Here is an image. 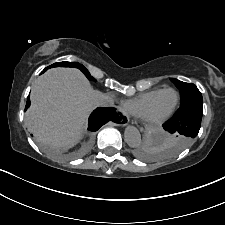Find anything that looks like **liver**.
<instances>
[{
  "mask_svg": "<svg viewBox=\"0 0 225 225\" xmlns=\"http://www.w3.org/2000/svg\"><path fill=\"white\" fill-rule=\"evenodd\" d=\"M101 95L73 68H53L41 75L31 92L26 112L28 130L43 143L68 149L82 138L85 123Z\"/></svg>",
  "mask_w": 225,
  "mask_h": 225,
  "instance_id": "6515ba94",
  "label": "liver"
}]
</instances>
